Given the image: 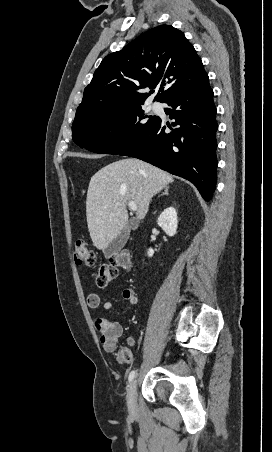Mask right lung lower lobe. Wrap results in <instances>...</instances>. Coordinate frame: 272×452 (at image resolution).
Instances as JSON below:
<instances>
[{
  "mask_svg": "<svg viewBox=\"0 0 272 452\" xmlns=\"http://www.w3.org/2000/svg\"><path fill=\"white\" fill-rule=\"evenodd\" d=\"M167 115L178 126L171 131L158 117L133 145L119 155L135 157L192 182L205 201L217 179L216 107L208 76L166 102ZM170 127V125H168Z\"/></svg>",
  "mask_w": 272,
  "mask_h": 452,
  "instance_id": "right-lung-lower-lobe-1",
  "label": "right lung lower lobe"
}]
</instances>
